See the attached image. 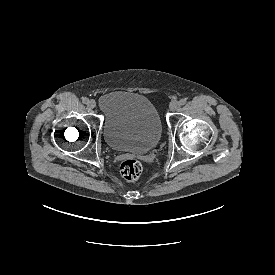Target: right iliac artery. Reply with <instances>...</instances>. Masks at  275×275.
Returning a JSON list of instances; mask_svg holds the SVG:
<instances>
[{"label": "right iliac artery", "mask_w": 275, "mask_h": 275, "mask_svg": "<svg viewBox=\"0 0 275 275\" xmlns=\"http://www.w3.org/2000/svg\"><path fill=\"white\" fill-rule=\"evenodd\" d=\"M82 102H83L84 104H87V103L89 102V99H88L87 97H84V98L82 99Z\"/></svg>", "instance_id": "obj_1"}]
</instances>
